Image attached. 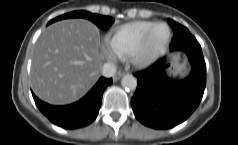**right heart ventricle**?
I'll use <instances>...</instances> for the list:
<instances>
[{
	"label": "right heart ventricle",
	"instance_id": "obj_1",
	"mask_svg": "<svg viewBox=\"0 0 238 145\" xmlns=\"http://www.w3.org/2000/svg\"><path fill=\"white\" fill-rule=\"evenodd\" d=\"M153 24L151 21H136L115 28L107 34L106 46L113 55L125 58Z\"/></svg>",
	"mask_w": 238,
	"mask_h": 145
}]
</instances>
